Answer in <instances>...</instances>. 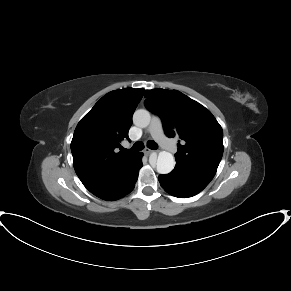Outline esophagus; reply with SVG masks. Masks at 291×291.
<instances>
[{"label": "esophagus", "instance_id": "34e87169", "mask_svg": "<svg viewBox=\"0 0 291 291\" xmlns=\"http://www.w3.org/2000/svg\"><path fill=\"white\" fill-rule=\"evenodd\" d=\"M153 152V150L149 149V148H145L144 149V154L149 155Z\"/></svg>", "mask_w": 291, "mask_h": 291}]
</instances>
